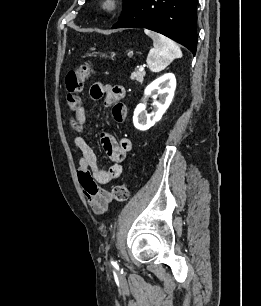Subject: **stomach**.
<instances>
[{
    "label": "stomach",
    "instance_id": "obj_1",
    "mask_svg": "<svg viewBox=\"0 0 261 306\" xmlns=\"http://www.w3.org/2000/svg\"><path fill=\"white\" fill-rule=\"evenodd\" d=\"M128 55L129 56H132L133 55V51L132 50H130L129 52H128ZM102 57H107L105 54H102Z\"/></svg>",
    "mask_w": 261,
    "mask_h": 306
}]
</instances>
